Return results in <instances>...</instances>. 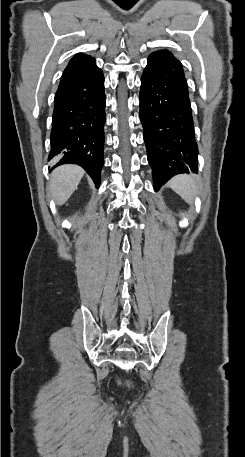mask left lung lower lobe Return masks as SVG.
<instances>
[{"mask_svg":"<svg viewBox=\"0 0 245 457\" xmlns=\"http://www.w3.org/2000/svg\"><path fill=\"white\" fill-rule=\"evenodd\" d=\"M140 120L158 190L180 173H197L198 147L182 64L169 51L153 52L141 77Z\"/></svg>","mask_w":245,"mask_h":457,"instance_id":"1","label":"left lung lower lobe"}]
</instances>
